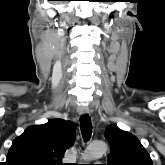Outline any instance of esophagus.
Returning a JSON list of instances; mask_svg holds the SVG:
<instances>
[{
	"instance_id": "1",
	"label": "esophagus",
	"mask_w": 165,
	"mask_h": 165,
	"mask_svg": "<svg viewBox=\"0 0 165 165\" xmlns=\"http://www.w3.org/2000/svg\"><path fill=\"white\" fill-rule=\"evenodd\" d=\"M77 111L80 115H86L89 113V108L87 106H78Z\"/></svg>"
}]
</instances>
